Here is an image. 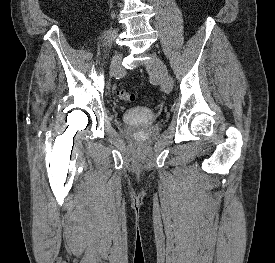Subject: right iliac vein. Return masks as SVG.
<instances>
[{
	"mask_svg": "<svg viewBox=\"0 0 275 263\" xmlns=\"http://www.w3.org/2000/svg\"><path fill=\"white\" fill-rule=\"evenodd\" d=\"M122 59V54L118 53L116 54L110 64V73L113 74L114 72H116L120 66V62Z\"/></svg>",
	"mask_w": 275,
	"mask_h": 263,
	"instance_id": "63e3f726",
	"label": "right iliac vein"
}]
</instances>
